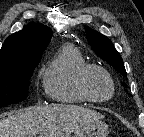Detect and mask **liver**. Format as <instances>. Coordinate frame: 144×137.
<instances>
[{"instance_id":"liver-1","label":"liver","mask_w":144,"mask_h":137,"mask_svg":"<svg viewBox=\"0 0 144 137\" xmlns=\"http://www.w3.org/2000/svg\"><path fill=\"white\" fill-rule=\"evenodd\" d=\"M103 118L97 111L75 105L28 107L0 118V137H70L78 128Z\"/></svg>"}]
</instances>
